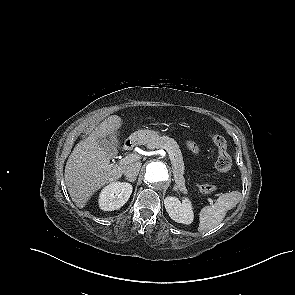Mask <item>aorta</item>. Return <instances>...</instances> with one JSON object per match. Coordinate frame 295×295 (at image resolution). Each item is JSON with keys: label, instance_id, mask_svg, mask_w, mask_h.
Listing matches in <instances>:
<instances>
[{"label": "aorta", "instance_id": "obj_1", "mask_svg": "<svg viewBox=\"0 0 295 295\" xmlns=\"http://www.w3.org/2000/svg\"><path fill=\"white\" fill-rule=\"evenodd\" d=\"M145 183L149 186L165 184L170 179V173L167 166L162 162H150L146 166Z\"/></svg>", "mask_w": 295, "mask_h": 295}]
</instances>
